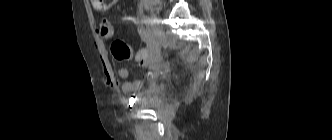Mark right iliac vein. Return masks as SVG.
<instances>
[{
  "instance_id": "right-iliac-vein-1",
  "label": "right iliac vein",
  "mask_w": 332,
  "mask_h": 140,
  "mask_svg": "<svg viewBox=\"0 0 332 140\" xmlns=\"http://www.w3.org/2000/svg\"><path fill=\"white\" fill-rule=\"evenodd\" d=\"M159 23V19L155 14L151 15V26H150V34L153 35L157 30V25Z\"/></svg>"
}]
</instances>
